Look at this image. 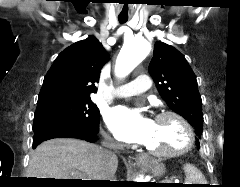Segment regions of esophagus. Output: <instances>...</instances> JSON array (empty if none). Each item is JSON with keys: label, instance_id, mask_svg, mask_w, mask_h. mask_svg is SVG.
<instances>
[{"label": "esophagus", "instance_id": "34e87169", "mask_svg": "<svg viewBox=\"0 0 240 187\" xmlns=\"http://www.w3.org/2000/svg\"><path fill=\"white\" fill-rule=\"evenodd\" d=\"M150 160V156L148 154H141L136 157V161L138 163H147Z\"/></svg>", "mask_w": 240, "mask_h": 187}]
</instances>
